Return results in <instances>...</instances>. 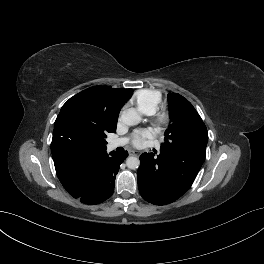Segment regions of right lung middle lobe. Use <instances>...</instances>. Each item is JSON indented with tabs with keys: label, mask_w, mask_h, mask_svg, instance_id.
<instances>
[{
	"label": "right lung middle lobe",
	"mask_w": 264,
	"mask_h": 264,
	"mask_svg": "<svg viewBox=\"0 0 264 264\" xmlns=\"http://www.w3.org/2000/svg\"><path fill=\"white\" fill-rule=\"evenodd\" d=\"M94 113L90 98L78 93L61 108L54 131L73 148L106 149V133L116 130L106 127Z\"/></svg>",
	"instance_id": "1"
}]
</instances>
